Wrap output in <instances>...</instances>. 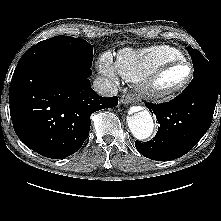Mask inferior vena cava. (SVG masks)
<instances>
[{
    "instance_id": "602c4592",
    "label": "inferior vena cava",
    "mask_w": 221,
    "mask_h": 221,
    "mask_svg": "<svg viewBox=\"0 0 221 221\" xmlns=\"http://www.w3.org/2000/svg\"><path fill=\"white\" fill-rule=\"evenodd\" d=\"M93 89L101 96L110 97L117 95L118 88L117 86L110 80L103 78V77H97L93 81Z\"/></svg>"
}]
</instances>
